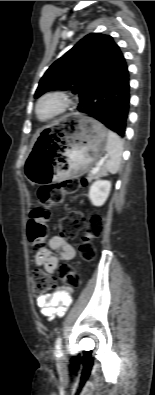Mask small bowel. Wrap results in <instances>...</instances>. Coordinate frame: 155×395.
Returning a JSON list of instances; mask_svg holds the SVG:
<instances>
[{"label":"small bowel","instance_id":"c3829d8e","mask_svg":"<svg viewBox=\"0 0 155 395\" xmlns=\"http://www.w3.org/2000/svg\"><path fill=\"white\" fill-rule=\"evenodd\" d=\"M75 255V248L65 238L53 236L47 247H42L36 252L34 262L36 266L44 268L47 273L54 274L61 262L70 261ZM36 302L42 314L49 319L61 316L72 302V289L58 287L51 293L39 295Z\"/></svg>","mask_w":155,"mask_h":395}]
</instances>
